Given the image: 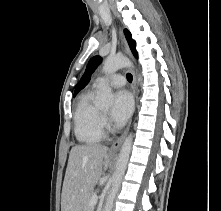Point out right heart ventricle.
I'll list each match as a JSON object with an SVG mask.
<instances>
[{"mask_svg":"<svg viewBox=\"0 0 221 211\" xmlns=\"http://www.w3.org/2000/svg\"><path fill=\"white\" fill-rule=\"evenodd\" d=\"M95 87L86 89L78 98L74 111V133L77 140L91 145L103 139L102 116L94 104Z\"/></svg>","mask_w":221,"mask_h":211,"instance_id":"obj_1","label":"right heart ventricle"}]
</instances>
